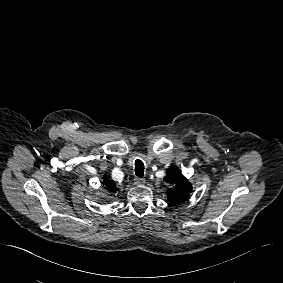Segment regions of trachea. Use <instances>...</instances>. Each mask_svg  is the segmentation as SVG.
<instances>
[{
    "instance_id": "1",
    "label": "trachea",
    "mask_w": 283,
    "mask_h": 283,
    "mask_svg": "<svg viewBox=\"0 0 283 283\" xmlns=\"http://www.w3.org/2000/svg\"><path fill=\"white\" fill-rule=\"evenodd\" d=\"M135 175L140 178L144 176V164L139 159L135 161Z\"/></svg>"
}]
</instances>
